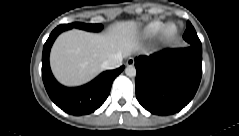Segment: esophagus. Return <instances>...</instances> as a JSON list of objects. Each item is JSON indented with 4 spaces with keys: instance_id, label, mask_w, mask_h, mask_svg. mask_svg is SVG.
I'll return each mask as SVG.
<instances>
[{
    "instance_id": "esophagus-1",
    "label": "esophagus",
    "mask_w": 239,
    "mask_h": 136,
    "mask_svg": "<svg viewBox=\"0 0 239 136\" xmlns=\"http://www.w3.org/2000/svg\"><path fill=\"white\" fill-rule=\"evenodd\" d=\"M126 65H128V66L134 65V58L130 57L126 62Z\"/></svg>"
}]
</instances>
